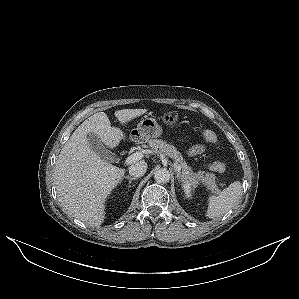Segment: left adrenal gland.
I'll return each instance as SVG.
<instances>
[{
  "label": "left adrenal gland",
  "mask_w": 299,
  "mask_h": 299,
  "mask_svg": "<svg viewBox=\"0 0 299 299\" xmlns=\"http://www.w3.org/2000/svg\"><path fill=\"white\" fill-rule=\"evenodd\" d=\"M176 175H177V179L179 182L183 180V178L179 172H177Z\"/></svg>",
  "instance_id": "a2214340"
}]
</instances>
